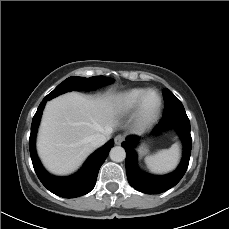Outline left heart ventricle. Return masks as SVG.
Listing matches in <instances>:
<instances>
[{"label":"left heart ventricle","mask_w":229,"mask_h":229,"mask_svg":"<svg viewBox=\"0 0 229 229\" xmlns=\"http://www.w3.org/2000/svg\"><path fill=\"white\" fill-rule=\"evenodd\" d=\"M157 103V96L155 94H151L148 97V105L149 106H154Z\"/></svg>","instance_id":"obj_1"}]
</instances>
